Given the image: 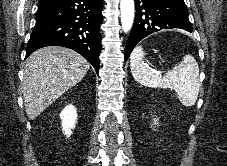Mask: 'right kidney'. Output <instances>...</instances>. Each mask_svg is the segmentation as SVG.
<instances>
[{
	"label": "right kidney",
	"instance_id": "obj_1",
	"mask_svg": "<svg viewBox=\"0 0 227 166\" xmlns=\"http://www.w3.org/2000/svg\"><path fill=\"white\" fill-rule=\"evenodd\" d=\"M60 118L62 119V130L64 134L69 137L72 133V129L75 128L77 121L76 108L73 105H67L61 112Z\"/></svg>",
	"mask_w": 227,
	"mask_h": 166
}]
</instances>
